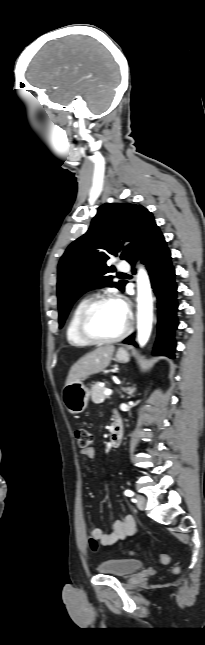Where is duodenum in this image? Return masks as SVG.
Masks as SVG:
<instances>
[{"mask_svg": "<svg viewBox=\"0 0 205 645\" xmlns=\"http://www.w3.org/2000/svg\"><path fill=\"white\" fill-rule=\"evenodd\" d=\"M123 438V425L119 418L115 419V422L110 431V446L115 448L118 447Z\"/></svg>", "mask_w": 205, "mask_h": 645, "instance_id": "duodenum-1", "label": "duodenum"}]
</instances>
